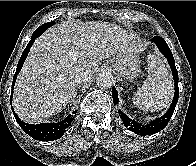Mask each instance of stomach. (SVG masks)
I'll return each instance as SVG.
<instances>
[{"label":"stomach","mask_w":196,"mask_h":166,"mask_svg":"<svg viewBox=\"0 0 196 166\" xmlns=\"http://www.w3.org/2000/svg\"><path fill=\"white\" fill-rule=\"evenodd\" d=\"M112 66L125 79H133L140 73L139 57L136 52H124L114 57Z\"/></svg>","instance_id":"stomach-1"}]
</instances>
